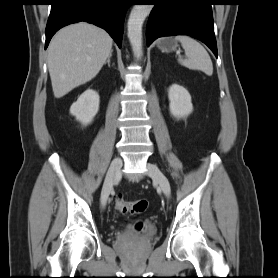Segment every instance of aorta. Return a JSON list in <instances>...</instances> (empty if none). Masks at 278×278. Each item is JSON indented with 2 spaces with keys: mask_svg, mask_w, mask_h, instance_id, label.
<instances>
[{
  "mask_svg": "<svg viewBox=\"0 0 278 278\" xmlns=\"http://www.w3.org/2000/svg\"><path fill=\"white\" fill-rule=\"evenodd\" d=\"M152 5H134L127 23V35L137 58L142 57V26Z\"/></svg>",
  "mask_w": 278,
  "mask_h": 278,
  "instance_id": "aorta-1",
  "label": "aorta"
}]
</instances>
